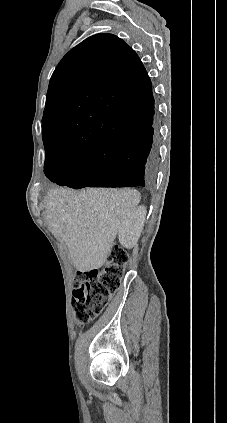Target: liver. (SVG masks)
Wrapping results in <instances>:
<instances>
[{
    "mask_svg": "<svg viewBox=\"0 0 227 423\" xmlns=\"http://www.w3.org/2000/svg\"><path fill=\"white\" fill-rule=\"evenodd\" d=\"M48 196L45 217L79 271L104 265L122 221L141 200L139 192L129 188H56Z\"/></svg>",
    "mask_w": 227,
    "mask_h": 423,
    "instance_id": "obj_1",
    "label": "liver"
}]
</instances>
